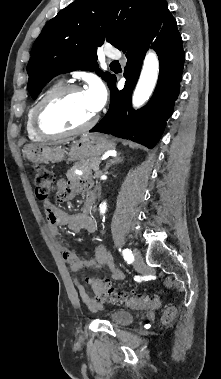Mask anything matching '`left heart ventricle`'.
Instances as JSON below:
<instances>
[{
    "label": "left heart ventricle",
    "instance_id": "1",
    "mask_svg": "<svg viewBox=\"0 0 221 379\" xmlns=\"http://www.w3.org/2000/svg\"><path fill=\"white\" fill-rule=\"evenodd\" d=\"M94 114L84 93L73 92L47 109L43 123L50 130L70 129L86 123Z\"/></svg>",
    "mask_w": 221,
    "mask_h": 379
}]
</instances>
